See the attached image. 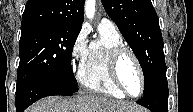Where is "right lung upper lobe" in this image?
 <instances>
[{
    "instance_id": "1",
    "label": "right lung upper lobe",
    "mask_w": 193,
    "mask_h": 112,
    "mask_svg": "<svg viewBox=\"0 0 193 112\" xmlns=\"http://www.w3.org/2000/svg\"><path fill=\"white\" fill-rule=\"evenodd\" d=\"M85 0H28L22 15L21 30L56 25L81 28Z\"/></svg>"
}]
</instances>
